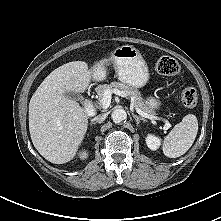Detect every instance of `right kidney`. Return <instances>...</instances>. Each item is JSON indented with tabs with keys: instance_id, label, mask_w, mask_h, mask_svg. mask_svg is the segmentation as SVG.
Returning <instances> with one entry per match:
<instances>
[{
	"instance_id": "obj_1",
	"label": "right kidney",
	"mask_w": 221,
	"mask_h": 221,
	"mask_svg": "<svg viewBox=\"0 0 221 221\" xmlns=\"http://www.w3.org/2000/svg\"><path fill=\"white\" fill-rule=\"evenodd\" d=\"M87 156H88V153H87L86 151H82V152L80 153V158L83 159V160L86 159Z\"/></svg>"
}]
</instances>
